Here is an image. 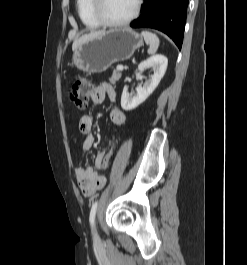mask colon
<instances>
[{
  "label": "colon",
  "instance_id": "5ec220e1",
  "mask_svg": "<svg viewBox=\"0 0 247 265\" xmlns=\"http://www.w3.org/2000/svg\"><path fill=\"white\" fill-rule=\"evenodd\" d=\"M92 93V82L83 76H77L73 82L72 89L70 92V99L78 110H84L89 102ZM118 140L115 135L112 136L108 151L104 154L101 162V175L108 170L111 158L116 149Z\"/></svg>",
  "mask_w": 247,
  "mask_h": 265
}]
</instances>
